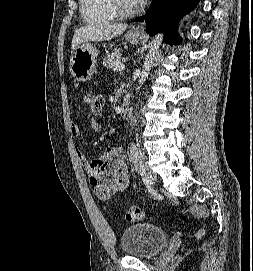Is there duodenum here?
Wrapping results in <instances>:
<instances>
[{"label":"duodenum","mask_w":253,"mask_h":271,"mask_svg":"<svg viewBox=\"0 0 253 271\" xmlns=\"http://www.w3.org/2000/svg\"><path fill=\"white\" fill-rule=\"evenodd\" d=\"M130 101L129 99H125L124 102L120 106L119 114L121 117H125L129 112Z\"/></svg>","instance_id":"duodenum-1"}]
</instances>
